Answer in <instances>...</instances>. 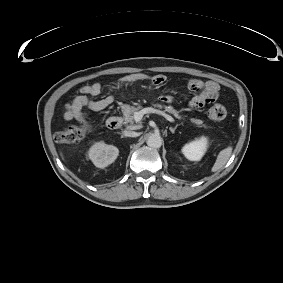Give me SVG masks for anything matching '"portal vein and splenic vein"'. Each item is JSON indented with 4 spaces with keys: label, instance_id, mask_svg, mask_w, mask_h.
<instances>
[{
    "label": "portal vein and splenic vein",
    "instance_id": "1",
    "mask_svg": "<svg viewBox=\"0 0 283 283\" xmlns=\"http://www.w3.org/2000/svg\"><path fill=\"white\" fill-rule=\"evenodd\" d=\"M148 113H156V114H159V115H162L163 117H165L168 121L170 122H174V118L168 114H166L165 112L163 111H160V110H157V109H154L152 107H147V108H143L137 112L134 113V120L136 123H139L143 116L145 114H148Z\"/></svg>",
    "mask_w": 283,
    "mask_h": 283
}]
</instances>
